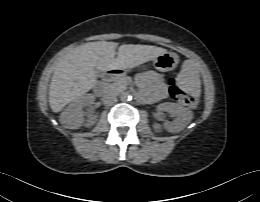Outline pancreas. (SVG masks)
I'll return each mask as SVG.
<instances>
[{"label": "pancreas", "mask_w": 260, "mask_h": 202, "mask_svg": "<svg viewBox=\"0 0 260 202\" xmlns=\"http://www.w3.org/2000/svg\"><path fill=\"white\" fill-rule=\"evenodd\" d=\"M126 77H122L113 83H105V88L108 92L119 93L126 88Z\"/></svg>", "instance_id": "obj_1"}]
</instances>
